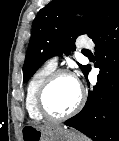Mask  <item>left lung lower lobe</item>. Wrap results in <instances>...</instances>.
<instances>
[{
  "label": "left lung lower lobe",
  "mask_w": 119,
  "mask_h": 141,
  "mask_svg": "<svg viewBox=\"0 0 119 141\" xmlns=\"http://www.w3.org/2000/svg\"><path fill=\"white\" fill-rule=\"evenodd\" d=\"M100 68L84 108L65 121L93 141H119V9L90 37ZM90 66L84 74L87 78Z\"/></svg>",
  "instance_id": "left-lung-lower-lobe-1"
}]
</instances>
